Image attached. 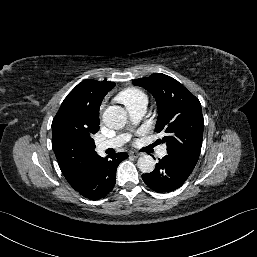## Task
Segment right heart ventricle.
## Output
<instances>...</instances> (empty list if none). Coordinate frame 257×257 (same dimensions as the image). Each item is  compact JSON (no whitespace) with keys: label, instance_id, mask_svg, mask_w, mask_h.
I'll return each instance as SVG.
<instances>
[{"label":"right heart ventricle","instance_id":"e07e8e85","mask_svg":"<svg viewBox=\"0 0 257 257\" xmlns=\"http://www.w3.org/2000/svg\"><path fill=\"white\" fill-rule=\"evenodd\" d=\"M117 98L127 108L135 104H140V103L147 104L148 102V97L146 93L138 88L125 89L118 94Z\"/></svg>","mask_w":257,"mask_h":257}]
</instances>
